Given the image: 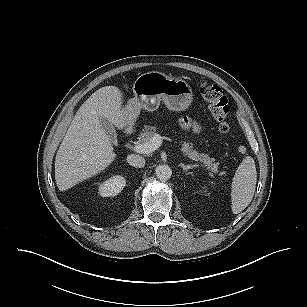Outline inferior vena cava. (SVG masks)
<instances>
[{"label": "inferior vena cava", "mask_w": 307, "mask_h": 307, "mask_svg": "<svg viewBox=\"0 0 307 307\" xmlns=\"http://www.w3.org/2000/svg\"><path fill=\"white\" fill-rule=\"evenodd\" d=\"M128 163L137 168H142L145 166V159L140 155L131 154L127 156Z\"/></svg>", "instance_id": "1"}]
</instances>
